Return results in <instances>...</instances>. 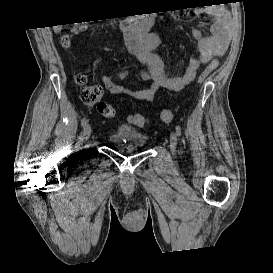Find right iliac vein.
Returning a JSON list of instances; mask_svg holds the SVG:
<instances>
[{"instance_id": "63e3f726", "label": "right iliac vein", "mask_w": 273, "mask_h": 273, "mask_svg": "<svg viewBox=\"0 0 273 273\" xmlns=\"http://www.w3.org/2000/svg\"><path fill=\"white\" fill-rule=\"evenodd\" d=\"M91 125L90 124H86L85 125V127H84V131H83V133H84V138L86 139V140H88L89 139V137H90V135H91Z\"/></svg>"}]
</instances>
